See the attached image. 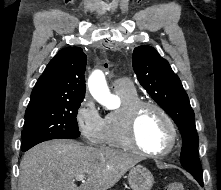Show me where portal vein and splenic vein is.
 Wrapping results in <instances>:
<instances>
[{
    "label": "portal vein and splenic vein",
    "mask_w": 221,
    "mask_h": 190,
    "mask_svg": "<svg viewBox=\"0 0 221 190\" xmlns=\"http://www.w3.org/2000/svg\"><path fill=\"white\" fill-rule=\"evenodd\" d=\"M84 179H85V176H84V175H78V176L76 177V180H77V181H84Z\"/></svg>",
    "instance_id": "obj_1"
}]
</instances>
